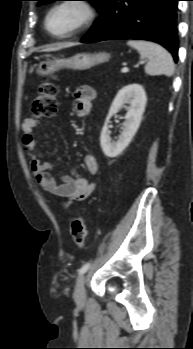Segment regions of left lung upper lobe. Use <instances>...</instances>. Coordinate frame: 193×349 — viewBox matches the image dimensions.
Here are the masks:
<instances>
[{"mask_svg": "<svg viewBox=\"0 0 193 349\" xmlns=\"http://www.w3.org/2000/svg\"><path fill=\"white\" fill-rule=\"evenodd\" d=\"M37 1H40L42 3H49L53 1H59V0H37ZM85 1H90L91 3H93L94 6L98 9V11L101 12L107 0H85Z\"/></svg>", "mask_w": 193, "mask_h": 349, "instance_id": "obj_1", "label": "left lung upper lobe"}]
</instances>
